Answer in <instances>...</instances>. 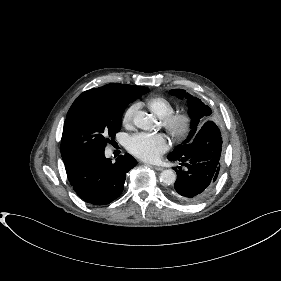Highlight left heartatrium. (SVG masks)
<instances>
[{"label":"left heart atrium","mask_w":281,"mask_h":281,"mask_svg":"<svg viewBox=\"0 0 281 281\" xmlns=\"http://www.w3.org/2000/svg\"><path fill=\"white\" fill-rule=\"evenodd\" d=\"M168 141L162 134L139 133L131 136L127 142L128 150L141 160L157 161L168 150Z\"/></svg>","instance_id":"left-heart-atrium-1"}]
</instances>
